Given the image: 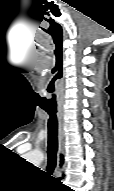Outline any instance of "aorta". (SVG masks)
I'll return each instance as SVG.
<instances>
[{"mask_svg": "<svg viewBox=\"0 0 114 191\" xmlns=\"http://www.w3.org/2000/svg\"><path fill=\"white\" fill-rule=\"evenodd\" d=\"M27 158L33 163H39L42 160V155L39 152L33 151L28 154Z\"/></svg>", "mask_w": 114, "mask_h": 191, "instance_id": "aorta-1", "label": "aorta"}]
</instances>
